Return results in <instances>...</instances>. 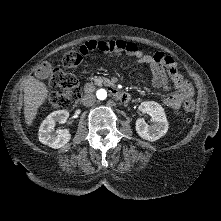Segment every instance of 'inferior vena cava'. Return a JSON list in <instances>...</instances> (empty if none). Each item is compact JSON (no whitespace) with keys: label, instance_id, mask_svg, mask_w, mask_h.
Here are the masks:
<instances>
[{"label":"inferior vena cava","instance_id":"602c4592","mask_svg":"<svg viewBox=\"0 0 221 221\" xmlns=\"http://www.w3.org/2000/svg\"><path fill=\"white\" fill-rule=\"evenodd\" d=\"M96 102V98L95 95L93 94H86L83 98H82V103L84 106L89 107L94 105Z\"/></svg>","mask_w":221,"mask_h":221}]
</instances>
